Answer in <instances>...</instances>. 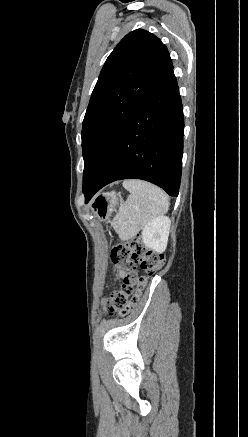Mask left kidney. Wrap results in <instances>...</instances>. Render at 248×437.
<instances>
[{
  "label": "left kidney",
  "mask_w": 248,
  "mask_h": 437,
  "mask_svg": "<svg viewBox=\"0 0 248 437\" xmlns=\"http://www.w3.org/2000/svg\"><path fill=\"white\" fill-rule=\"evenodd\" d=\"M171 221L166 216H159L146 224L142 230V242L144 245L158 253L165 251L167 247Z\"/></svg>",
  "instance_id": "1"
}]
</instances>
